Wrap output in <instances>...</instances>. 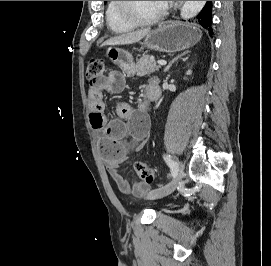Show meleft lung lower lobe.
Listing matches in <instances>:
<instances>
[{
    "instance_id": "1",
    "label": "left lung lower lobe",
    "mask_w": 271,
    "mask_h": 266,
    "mask_svg": "<svg viewBox=\"0 0 271 266\" xmlns=\"http://www.w3.org/2000/svg\"><path fill=\"white\" fill-rule=\"evenodd\" d=\"M212 3L211 1H207L206 5L202 9V11L198 14L197 22L206 30L209 31L210 35L213 34V30L211 27L212 24V16H211Z\"/></svg>"
}]
</instances>
